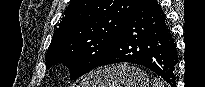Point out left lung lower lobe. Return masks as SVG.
<instances>
[{"mask_svg":"<svg viewBox=\"0 0 205 87\" xmlns=\"http://www.w3.org/2000/svg\"><path fill=\"white\" fill-rule=\"evenodd\" d=\"M176 45L155 0H136L99 66L127 62L145 66L175 86Z\"/></svg>","mask_w":205,"mask_h":87,"instance_id":"1","label":"left lung lower lobe"}]
</instances>
